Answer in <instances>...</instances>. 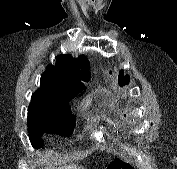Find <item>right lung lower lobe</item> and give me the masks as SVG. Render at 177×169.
I'll use <instances>...</instances> for the list:
<instances>
[{"label": "right lung lower lobe", "instance_id": "right-lung-lower-lobe-1", "mask_svg": "<svg viewBox=\"0 0 177 169\" xmlns=\"http://www.w3.org/2000/svg\"><path fill=\"white\" fill-rule=\"evenodd\" d=\"M30 141L32 146L37 147L39 144H42V138L43 137H33V136H29Z\"/></svg>", "mask_w": 177, "mask_h": 169}]
</instances>
